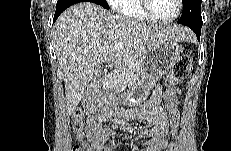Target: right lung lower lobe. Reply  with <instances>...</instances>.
Segmentation results:
<instances>
[{
    "label": "right lung lower lobe",
    "mask_w": 231,
    "mask_h": 151,
    "mask_svg": "<svg viewBox=\"0 0 231 151\" xmlns=\"http://www.w3.org/2000/svg\"><path fill=\"white\" fill-rule=\"evenodd\" d=\"M82 2L81 0H58L56 4V12L54 15L53 22L58 18V16L69 6ZM90 2H93L92 0ZM94 3V2H93Z\"/></svg>",
    "instance_id": "1"
}]
</instances>
